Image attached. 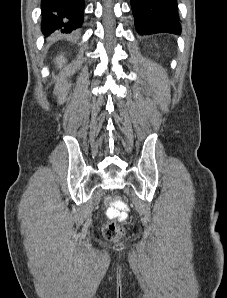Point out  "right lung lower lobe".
<instances>
[{
  "label": "right lung lower lobe",
  "instance_id": "right-lung-lower-lobe-1",
  "mask_svg": "<svg viewBox=\"0 0 227 298\" xmlns=\"http://www.w3.org/2000/svg\"><path fill=\"white\" fill-rule=\"evenodd\" d=\"M42 32L70 33L83 23L84 0H42Z\"/></svg>",
  "mask_w": 227,
  "mask_h": 298
}]
</instances>
